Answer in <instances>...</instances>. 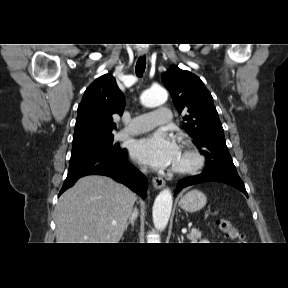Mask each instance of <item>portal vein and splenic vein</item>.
Wrapping results in <instances>:
<instances>
[{
  "label": "portal vein and splenic vein",
  "mask_w": 288,
  "mask_h": 288,
  "mask_svg": "<svg viewBox=\"0 0 288 288\" xmlns=\"http://www.w3.org/2000/svg\"><path fill=\"white\" fill-rule=\"evenodd\" d=\"M186 232H187V229H186V228H183V229H182V233L185 234Z\"/></svg>",
  "instance_id": "portal-vein-and-splenic-vein-1"
}]
</instances>
